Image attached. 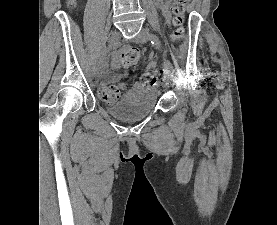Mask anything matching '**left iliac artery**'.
Segmentation results:
<instances>
[{
    "label": "left iliac artery",
    "mask_w": 277,
    "mask_h": 225,
    "mask_svg": "<svg viewBox=\"0 0 277 225\" xmlns=\"http://www.w3.org/2000/svg\"><path fill=\"white\" fill-rule=\"evenodd\" d=\"M149 39H150L151 43L153 45H155L157 48L161 47V42H160V39L157 35L152 33V34L149 35ZM164 68H165V73L166 74H168V75H173L174 74V70L169 68L168 63H164Z\"/></svg>",
    "instance_id": "left-iliac-artery-1"
}]
</instances>
